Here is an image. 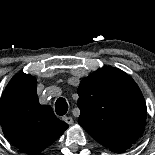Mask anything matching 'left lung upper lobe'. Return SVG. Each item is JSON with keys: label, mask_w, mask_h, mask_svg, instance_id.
I'll return each mask as SVG.
<instances>
[{"label": "left lung upper lobe", "mask_w": 155, "mask_h": 155, "mask_svg": "<svg viewBox=\"0 0 155 155\" xmlns=\"http://www.w3.org/2000/svg\"><path fill=\"white\" fill-rule=\"evenodd\" d=\"M78 123L100 144L124 151L141 136L147 108L135 81L120 69L103 67L78 87Z\"/></svg>", "instance_id": "1"}]
</instances>
